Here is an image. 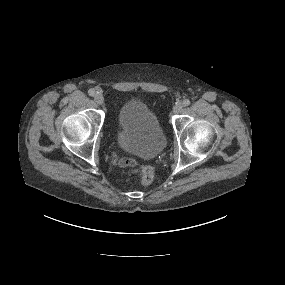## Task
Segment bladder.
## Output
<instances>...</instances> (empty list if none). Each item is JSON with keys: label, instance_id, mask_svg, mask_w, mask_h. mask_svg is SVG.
<instances>
[{"label": "bladder", "instance_id": "31cf9c89", "mask_svg": "<svg viewBox=\"0 0 285 285\" xmlns=\"http://www.w3.org/2000/svg\"><path fill=\"white\" fill-rule=\"evenodd\" d=\"M117 129L120 147L144 158L157 156L166 145L158 117L141 100H130L121 107Z\"/></svg>", "mask_w": 285, "mask_h": 285}]
</instances>
